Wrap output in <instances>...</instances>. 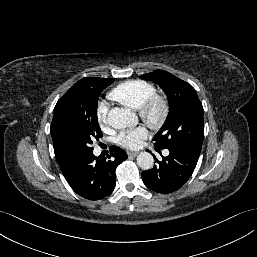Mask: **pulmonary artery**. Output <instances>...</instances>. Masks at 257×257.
<instances>
[{
	"mask_svg": "<svg viewBox=\"0 0 257 257\" xmlns=\"http://www.w3.org/2000/svg\"><path fill=\"white\" fill-rule=\"evenodd\" d=\"M169 154V151L168 150H165L164 151V155H168Z\"/></svg>",
	"mask_w": 257,
	"mask_h": 257,
	"instance_id": "pulmonary-artery-1",
	"label": "pulmonary artery"
}]
</instances>
